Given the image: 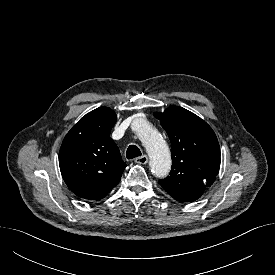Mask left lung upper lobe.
<instances>
[{
    "label": "left lung upper lobe",
    "mask_w": 275,
    "mask_h": 275,
    "mask_svg": "<svg viewBox=\"0 0 275 275\" xmlns=\"http://www.w3.org/2000/svg\"><path fill=\"white\" fill-rule=\"evenodd\" d=\"M155 118L171 141L172 170L159 184L175 200H197L213 184L220 167V147L212 128L194 113L171 106Z\"/></svg>",
    "instance_id": "1"
}]
</instances>
